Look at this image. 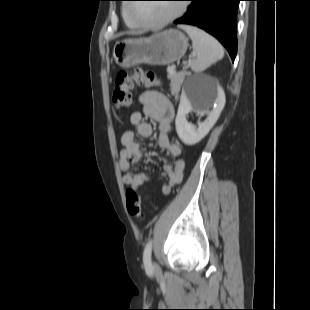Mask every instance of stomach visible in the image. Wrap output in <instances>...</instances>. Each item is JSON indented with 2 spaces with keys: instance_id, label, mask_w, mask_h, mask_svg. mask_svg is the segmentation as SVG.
<instances>
[{
  "instance_id": "stomach-1",
  "label": "stomach",
  "mask_w": 310,
  "mask_h": 310,
  "mask_svg": "<svg viewBox=\"0 0 310 310\" xmlns=\"http://www.w3.org/2000/svg\"><path fill=\"white\" fill-rule=\"evenodd\" d=\"M188 47V38L170 29L148 38L124 39L113 47L115 63L128 68L139 64L164 66L181 59Z\"/></svg>"
}]
</instances>
